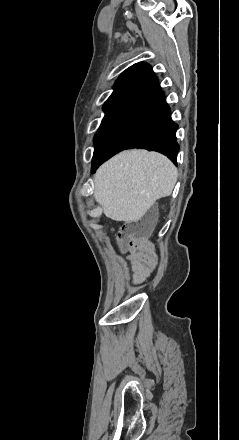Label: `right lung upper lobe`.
<instances>
[{"label": "right lung upper lobe", "instance_id": "right-lung-upper-lobe-1", "mask_svg": "<svg viewBox=\"0 0 239 440\" xmlns=\"http://www.w3.org/2000/svg\"><path fill=\"white\" fill-rule=\"evenodd\" d=\"M158 85L151 66L147 63H136L126 69L116 80L114 92L106 103L114 101H131L151 91Z\"/></svg>", "mask_w": 239, "mask_h": 440}]
</instances>
